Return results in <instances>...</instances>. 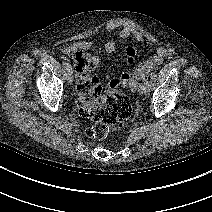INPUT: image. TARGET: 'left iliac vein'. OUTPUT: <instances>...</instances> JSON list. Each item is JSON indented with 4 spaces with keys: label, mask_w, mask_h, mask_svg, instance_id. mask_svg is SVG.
Listing matches in <instances>:
<instances>
[{
    "label": "left iliac vein",
    "mask_w": 212,
    "mask_h": 212,
    "mask_svg": "<svg viewBox=\"0 0 212 212\" xmlns=\"http://www.w3.org/2000/svg\"><path fill=\"white\" fill-rule=\"evenodd\" d=\"M138 92H139V94H144L145 93L143 86L139 87Z\"/></svg>",
    "instance_id": "1"
}]
</instances>
